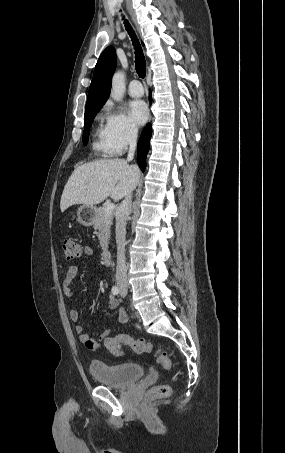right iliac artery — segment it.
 I'll list each match as a JSON object with an SVG mask.
<instances>
[{
  "instance_id": "right-iliac-artery-1",
  "label": "right iliac artery",
  "mask_w": 285,
  "mask_h": 453,
  "mask_svg": "<svg viewBox=\"0 0 285 453\" xmlns=\"http://www.w3.org/2000/svg\"><path fill=\"white\" fill-rule=\"evenodd\" d=\"M112 293H113L114 295H117V294L119 293V288H118L117 286H113V287H112Z\"/></svg>"
}]
</instances>
